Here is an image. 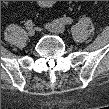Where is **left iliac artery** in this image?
<instances>
[{
    "label": "left iliac artery",
    "instance_id": "1",
    "mask_svg": "<svg viewBox=\"0 0 109 109\" xmlns=\"http://www.w3.org/2000/svg\"><path fill=\"white\" fill-rule=\"evenodd\" d=\"M55 22L59 24L70 25L72 24L73 19L70 17H64V18L56 19Z\"/></svg>",
    "mask_w": 109,
    "mask_h": 109
}]
</instances>
